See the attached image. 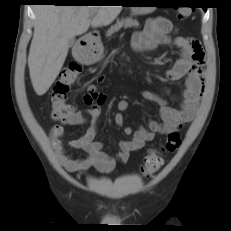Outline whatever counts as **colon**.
Returning <instances> with one entry per match:
<instances>
[{
    "instance_id": "colon-1",
    "label": "colon",
    "mask_w": 231,
    "mask_h": 231,
    "mask_svg": "<svg viewBox=\"0 0 231 231\" xmlns=\"http://www.w3.org/2000/svg\"><path fill=\"white\" fill-rule=\"evenodd\" d=\"M192 10L183 8L178 11L179 20L187 19ZM83 67L78 62H71L61 71L51 96V117L56 121L66 123L75 113L74 107L68 103V95L72 86L81 75ZM181 145V136L177 131L168 133L165 142L159 148L150 149L145 163L141 167L144 176H151L156 173L164 164L166 153L175 152Z\"/></svg>"
}]
</instances>
